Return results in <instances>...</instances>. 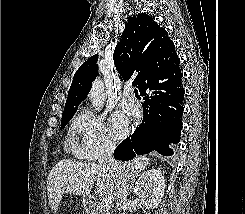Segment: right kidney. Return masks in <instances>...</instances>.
Here are the masks:
<instances>
[{
	"instance_id": "obj_1",
	"label": "right kidney",
	"mask_w": 245,
	"mask_h": 214,
	"mask_svg": "<svg viewBox=\"0 0 245 214\" xmlns=\"http://www.w3.org/2000/svg\"><path fill=\"white\" fill-rule=\"evenodd\" d=\"M165 190V179L160 170L151 169L142 173L134 187V193L147 209H155L160 204Z\"/></svg>"
}]
</instances>
